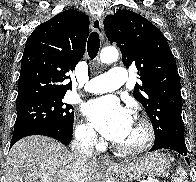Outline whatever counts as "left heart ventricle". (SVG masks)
<instances>
[{
  "label": "left heart ventricle",
  "instance_id": "obj_1",
  "mask_svg": "<svg viewBox=\"0 0 196 182\" xmlns=\"http://www.w3.org/2000/svg\"><path fill=\"white\" fill-rule=\"evenodd\" d=\"M143 140L144 130L136 120H133L127 134L117 143L121 146L133 147L141 144Z\"/></svg>",
  "mask_w": 196,
  "mask_h": 182
}]
</instances>
